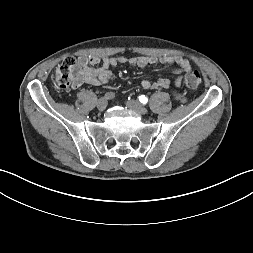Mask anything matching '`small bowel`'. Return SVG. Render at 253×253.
<instances>
[{"label": "small bowel", "instance_id": "c3829d8e", "mask_svg": "<svg viewBox=\"0 0 253 253\" xmlns=\"http://www.w3.org/2000/svg\"><path fill=\"white\" fill-rule=\"evenodd\" d=\"M79 62L82 66V70L76 77V80L74 82L75 87L83 84L91 86H101L108 84L114 80V76L109 71V68L120 64H130L142 69L155 65L158 62L164 65L176 64L178 68L174 72L179 75L184 72H188L191 69L190 62L180 56H161L159 58L155 56H112L104 58L94 56H81L79 58ZM175 84L176 86H180L181 77H178L176 79ZM141 86L144 89H167L170 86V81L165 77H159L155 81L144 79L141 81ZM174 96L177 100H183V96L180 93L175 92Z\"/></svg>", "mask_w": 253, "mask_h": 253}]
</instances>
